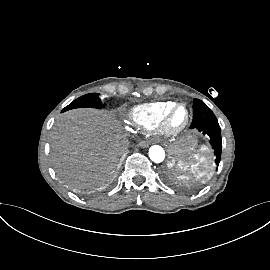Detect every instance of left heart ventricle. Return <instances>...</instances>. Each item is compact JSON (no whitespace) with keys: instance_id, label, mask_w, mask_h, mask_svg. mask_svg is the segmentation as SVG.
Returning <instances> with one entry per match:
<instances>
[{"instance_id":"obj_1","label":"left heart ventricle","mask_w":270,"mask_h":270,"mask_svg":"<svg viewBox=\"0 0 270 270\" xmlns=\"http://www.w3.org/2000/svg\"><path fill=\"white\" fill-rule=\"evenodd\" d=\"M185 116H186V112H185V109L184 108H179L173 118H172V124L173 126L177 127L179 125H181L185 119Z\"/></svg>"}]
</instances>
